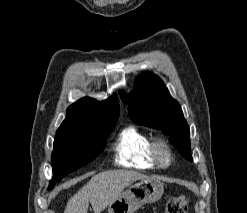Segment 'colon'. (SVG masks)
<instances>
[{
	"mask_svg": "<svg viewBox=\"0 0 247 213\" xmlns=\"http://www.w3.org/2000/svg\"><path fill=\"white\" fill-rule=\"evenodd\" d=\"M188 200L184 195L171 197L165 206L164 213H187Z\"/></svg>",
	"mask_w": 247,
	"mask_h": 213,
	"instance_id": "5ec220e1",
	"label": "colon"
}]
</instances>
